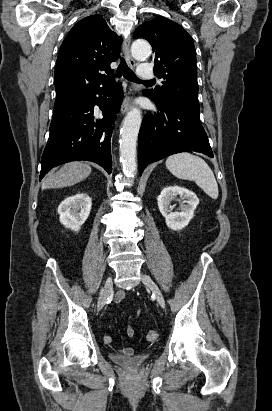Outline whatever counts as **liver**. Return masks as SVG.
Masks as SVG:
<instances>
[{"instance_id": "liver-1", "label": "liver", "mask_w": 272, "mask_h": 411, "mask_svg": "<svg viewBox=\"0 0 272 411\" xmlns=\"http://www.w3.org/2000/svg\"><path fill=\"white\" fill-rule=\"evenodd\" d=\"M92 169L83 162H69L64 164L56 173L50 174L42 183V190L49 188H63L74 185L86 179Z\"/></svg>"}]
</instances>
